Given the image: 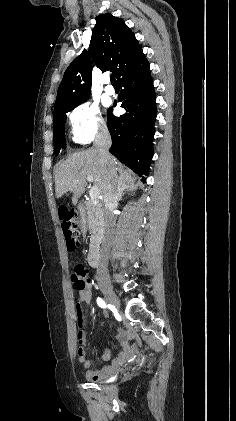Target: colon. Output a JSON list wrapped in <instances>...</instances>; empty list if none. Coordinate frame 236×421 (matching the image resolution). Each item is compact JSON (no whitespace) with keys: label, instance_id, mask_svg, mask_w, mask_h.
<instances>
[{"label":"colon","instance_id":"obj_1","mask_svg":"<svg viewBox=\"0 0 236 421\" xmlns=\"http://www.w3.org/2000/svg\"><path fill=\"white\" fill-rule=\"evenodd\" d=\"M65 239L67 241V248L70 251H74L78 246V226L75 222L66 219L62 225ZM71 280L76 290L83 291L89 286L91 282V276L89 270L82 264H76L73 266L71 273ZM84 352L82 347L79 348L78 354L81 356Z\"/></svg>","mask_w":236,"mask_h":421}]
</instances>
